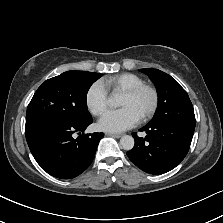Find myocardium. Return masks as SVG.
I'll list each match as a JSON object with an SVG mask.
<instances>
[{
    "label": "myocardium",
    "mask_w": 223,
    "mask_h": 223,
    "mask_svg": "<svg viewBox=\"0 0 223 223\" xmlns=\"http://www.w3.org/2000/svg\"><path fill=\"white\" fill-rule=\"evenodd\" d=\"M145 91L150 93L152 101H151V105H150L149 109L144 114H142L140 119H147V118L151 117L156 112L158 103H159V96H158L157 90L148 84H141V85L123 93V95H125L127 97L134 98Z\"/></svg>",
    "instance_id": "1"
}]
</instances>
